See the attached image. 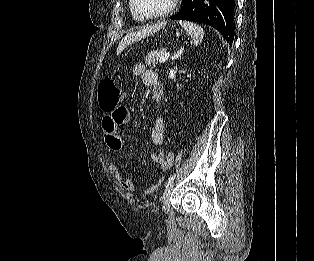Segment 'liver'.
<instances>
[{
  "label": "liver",
  "mask_w": 314,
  "mask_h": 261,
  "mask_svg": "<svg viewBox=\"0 0 314 261\" xmlns=\"http://www.w3.org/2000/svg\"><path fill=\"white\" fill-rule=\"evenodd\" d=\"M154 30V27H147L146 29H143L141 31H138L137 33H131L125 36L119 43L117 48V55H119L128 45H130L133 42L139 41L143 38H145L147 35H149Z\"/></svg>",
  "instance_id": "obj_1"
}]
</instances>
